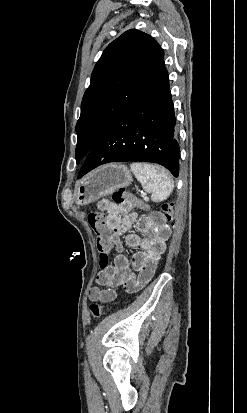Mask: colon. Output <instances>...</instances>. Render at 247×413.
I'll list each match as a JSON object with an SVG mask.
<instances>
[{"mask_svg": "<svg viewBox=\"0 0 247 413\" xmlns=\"http://www.w3.org/2000/svg\"><path fill=\"white\" fill-rule=\"evenodd\" d=\"M113 200L116 203L128 202L133 207H140L143 205L140 198L136 195H127L124 189H118L113 194ZM175 205L173 202L163 203L160 207V214L165 217L168 223L174 220ZM89 227L92 229L93 234H96L97 240V252L100 254L101 263L107 265L110 263L109 252L111 250L109 240V225H106L105 217L102 212L94 211L87 216ZM154 263V262H151ZM105 307L101 304H91L89 306V312L92 319H98L104 313Z\"/></svg>", "mask_w": 247, "mask_h": 413, "instance_id": "colon-1", "label": "colon"}]
</instances>
